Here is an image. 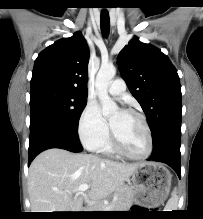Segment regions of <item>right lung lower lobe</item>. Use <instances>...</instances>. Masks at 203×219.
<instances>
[{"instance_id":"right-lung-lower-lobe-1","label":"right lung lower lobe","mask_w":203,"mask_h":219,"mask_svg":"<svg viewBox=\"0 0 203 219\" xmlns=\"http://www.w3.org/2000/svg\"><path fill=\"white\" fill-rule=\"evenodd\" d=\"M61 148L71 152L83 150L78 135L63 132L42 121L30 122L29 164L42 151Z\"/></svg>"}]
</instances>
